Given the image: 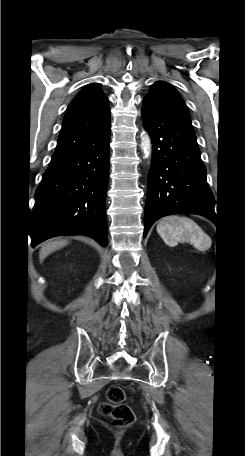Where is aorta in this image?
<instances>
[{"label":"aorta","mask_w":245,"mask_h":456,"mask_svg":"<svg viewBox=\"0 0 245 456\" xmlns=\"http://www.w3.org/2000/svg\"><path fill=\"white\" fill-rule=\"evenodd\" d=\"M142 149L144 151L145 156L147 157L149 155L150 150V138L146 134L142 138Z\"/></svg>","instance_id":"762f6f07"}]
</instances>
